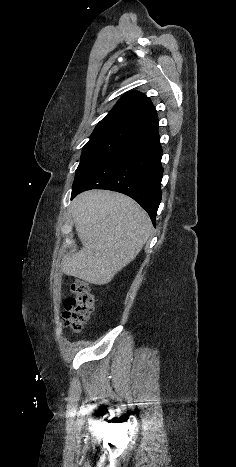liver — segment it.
Listing matches in <instances>:
<instances>
[{"mask_svg": "<svg viewBox=\"0 0 236 467\" xmlns=\"http://www.w3.org/2000/svg\"><path fill=\"white\" fill-rule=\"evenodd\" d=\"M71 211L83 247L63 258L62 271L90 284L111 282L139 254L152 229L148 214L116 192H83L73 200Z\"/></svg>", "mask_w": 236, "mask_h": 467, "instance_id": "6515ba94", "label": "liver"}]
</instances>
